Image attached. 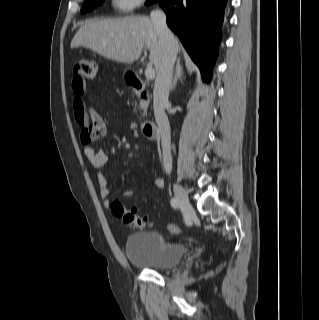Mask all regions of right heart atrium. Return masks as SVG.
<instances>
[{"label": "right heart atrium", "mask_w": 319, "mask_h": 320, "mask_svg": "<svg viewBox=\"0 0 319 320\" xmlns=\"http://www.w3.org/2000/svg\"><path fill=\"white\" fill-rule=\"evenodd\" d=\"M145 0H113L114 6L123 12H130L139 7Z\"/></svg>", "instance_id": "right-heart-atrium-1"}]
</instances>
